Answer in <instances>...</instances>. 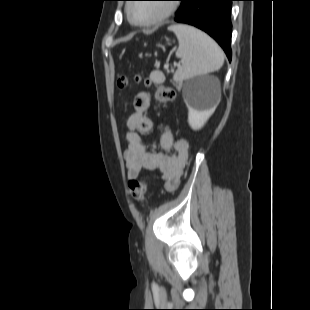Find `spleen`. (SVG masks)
Segmentation results:
<instances>
[{
    "label": "spleen",
    "instance_id": "3e777b00",
    "mask_svg": "<svg viewBox=\"0 0 310 310\" xmlns=\"http://www.w3.org/2000/svg\"><path fill=\"white\" fill-rule=\"evenodd\" d=\"M168 29L174 32L178 39L176 57L182 60V65L174 74V81L182 82L194 76L217 71L222 67L224 53L206 33L185 24L172 25Z\"/></svg>",
    "mask_w": 310,
    "mask_h": 310
}]
</instances>
